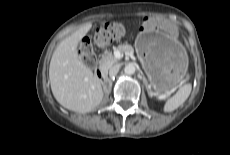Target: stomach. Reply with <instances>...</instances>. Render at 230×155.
I'll return each mask as SVG.
<instances>
[{
  "label": "stomach",
  "mask_w": 230,
  "mask_h": 155,
  "mask_svg": "<svg viewBox=\"0 0 230 155\" xmlns=\"http://www.w3.org/2000/svg\"><path fill=\"white\" fill-rule=\"evenodd\" d=\"M137 56L156 93H165L177 85L188 69L185 48L164 32L139 33L135 41Z\"/></svg>",
  "instance_id": "stomach-1"
}]
</instances>
